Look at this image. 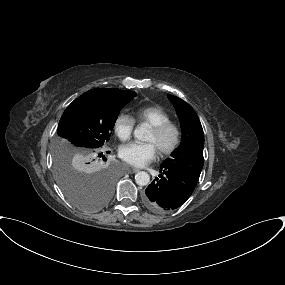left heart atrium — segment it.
<instances>
[{
  "label": "left heart atrium",
  "instance_id": "39dd6f15",
  "mask_svg": "<svg viewBox=\"0 0 285 285\" xmlns=\"http://www.w3.org/2000/svg\"><path fill=\"white\" fill-rule=\"evenodd\" d=\"M120 157L129 164L142 167L157 156V147L153 142H132L121 147Z\"/></svg>",
  "mask_w": 285,
  "mask_h": 285
}]
</instances>
